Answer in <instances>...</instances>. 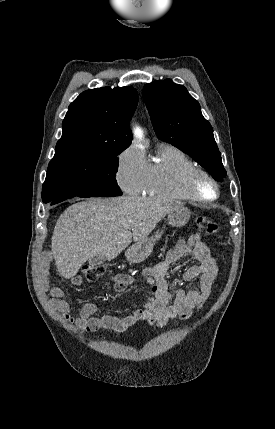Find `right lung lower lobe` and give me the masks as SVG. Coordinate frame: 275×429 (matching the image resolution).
Returning <instances> with one entry per match:
<instances>
[{"label": "right lung lower lobe", "mask_w": 275, "mask_h": 429, "mask_svg": "<svg viewBox=\"0 0 275 429\" xmlns=\"http://www.w3.org/2000/svg\"><path fill=\"white\" fill-rule=\"evenodd\" d=\"M72 197H76V196H62V197H59V198H57V199H55V200L51 201V203H52V204H56V203H59V202H61V201H63V200H66V199H68V198H72Z\"/></svg>", "instance_id": "1"}]
</instances>
